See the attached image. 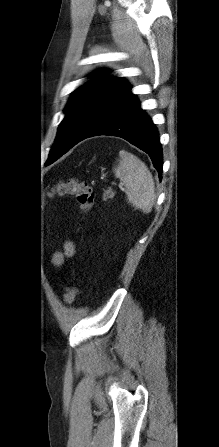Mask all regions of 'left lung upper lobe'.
Wrapping results in <instances>:
<instances>
[{
  "label": "left lung upper lobe",
  "instance_id": "5c2ea615",
  "mask_svg": "<svg viewBox=\"0 0 219 447\" xmlns=\"http://www.w3.org/2000/svg\"><path fill=\"white\" fill-rule=\"evenodd\" d=\"M130 91L123 78L113 76L92 79L76 89L64 110L65 117L48 159L82 141Z\"/></svg>",
  "mask_w": 219,
  "mask_h": 447
}]
</instances>
